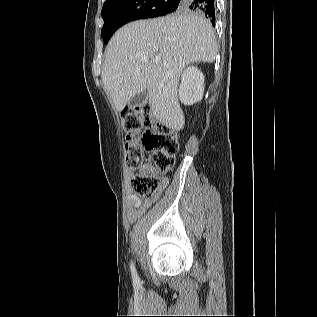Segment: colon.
<instances>
[{
	"label": "colon",
	"mask_w": 317,
	"mask_h": 317,
	"mask_svg": "<svg viewBox=\"0 0 317 317\" xmlns=\"http://www.w3.org/2000/svg\"><path fill=\"white\" fill-rule=\"evenodd\" d=\"M126 133V165L138 171L131 187L138 198L152 199L160 189L159 175L169 172L179 149V136L169 127L154 122L147 105H135L123 112ZM148 154V157H146Z\"/></svg>",
	"instance_id": "colon-1"
}]
</instances>
